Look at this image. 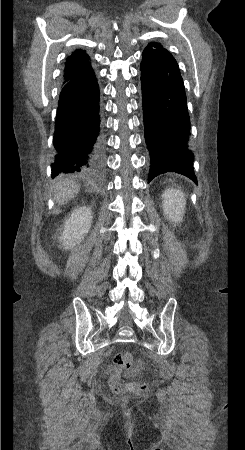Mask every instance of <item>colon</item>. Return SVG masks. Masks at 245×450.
<instances>
[{"label":"colon","mask_w":245,"mask_h":450,"mask_svg":"<svg viewBox=\"0 0 245 450\" xmlns=\"http://www.w3.org/2000/svg\"><path fill=\"white\" fill-rule=\"evenodd\" d=\"M133 357L130 352L116 353L113 358L115 371L110 378V386L112 390L120 392L124 390H131L134 392H143L146 390V384L140 381L122 382L123 374L130 369Z\"/></svg>","instance_id":"obj_1"}]
</instances>
